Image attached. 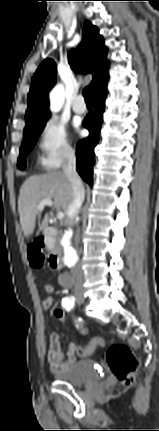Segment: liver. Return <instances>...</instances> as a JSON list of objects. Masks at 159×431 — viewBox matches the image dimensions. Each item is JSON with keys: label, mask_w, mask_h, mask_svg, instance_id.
I'll return each mask as SVG.
<instances>
[{"label": "liver", "mask_w": 159, "mask_h": 431, "mask_svg": "<svg viewBox=\"0 0 159 431\" xmlns=\"http://www.w3.org/2000/svg\"><path fill=\"white\" fill-rule=\"evenodd\" d=\"M45 198L53 199L56 208L66 213L72 201V185L63 171H52L29 177L22 185L18 198L20 223L26 238L35 230L38 204ZM48 215L44 216L40 229L48 226Z\"/></svg>", "instance_id": "liver-1"}]
</instances>
